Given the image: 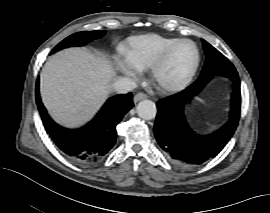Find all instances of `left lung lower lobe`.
Wrapping results in <instances>:
<instances>
[{
    "label": "left lung lower lobe",
    "instance_id": "1",
    "mask_svg": "<svg viewBox=\"0 0 270 213\" xmlns=\"http://www.w3.org/2000/svg\"><path fill=\"white\" fill-rule=\"evenodd\" d=\"M234 84L231 119L219 130L209 135H198L189 126L185 106L209 81L193 83L185 90L157 102L158 113L154 125L157 142L166 157L182 168L202 165L217 156L234 134L241 109L240 80L235 67L220 73Z\"/></svg>",
    "mask_w": 270,
    "mask_h": 213
}]
</instances>
